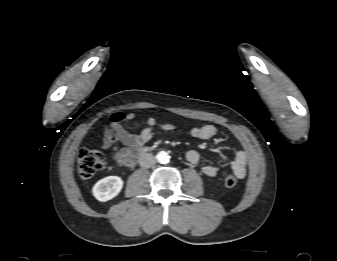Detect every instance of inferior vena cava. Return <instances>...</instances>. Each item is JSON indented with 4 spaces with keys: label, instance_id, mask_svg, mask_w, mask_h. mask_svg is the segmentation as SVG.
Instances as JSON below:
<instances>
[{
    "label": "inferior vena cava",
    "instance_id": "1",
    "mask_svg": "<svg viewBox=\"0 0 337 261\" xmlns=\"http://www.w3.org/2000/svg\"><path fill=\"white\" fill-rule=\"evenodd\" d=\"M155 162V157L151 153H143L139 157V165L143 168H150L154 166Z\"/></svg>",
    "mask_w": 337,
    "mask_h": 261
}]
</instances>
